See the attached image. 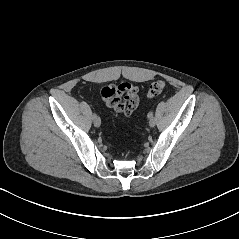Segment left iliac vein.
Returning a JSON list of instances; mask_svg holds the SVG:
<instances>
[{"instance_id": "4c4485c4", "label": "left iliac vein", "mask_w": 239, "mask_h": 239, "mask_svg": "<svg viewBox=\"0 0 239 239\" xmlns=\"http://www.w3.org/2000/svg\"><path fill=\"white\" fill-rule=\"evenodd\" d=\"M155 124H156V120H155V118H150V120H149V125H150V127H154L155 126Z\"/></svg>"}]
</instances>
